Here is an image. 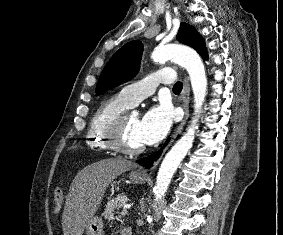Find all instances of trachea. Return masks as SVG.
<instances>
[{
  "label": "trachea",
  "mask_w": 283,
  "mask_h": 235,
  "mask_svg": "<svg viewBox=\"0 0 283 235\" xmlns=\"http://www.w3.org/2000/svg\"><path fill=\"white\" fill-rule=\"evenodd\" d=\"M181 91H182V83L180 81H178L173 86V92L180 93Z\"/></svg>",
  "instance_id": "1"
}]
</instances>
